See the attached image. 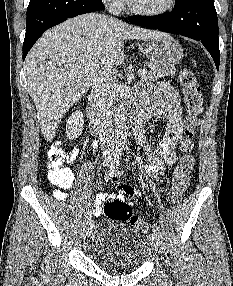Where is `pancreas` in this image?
<instances>
[{
	"label": "pancreas",
	"instance_id": "cf45deb5",
	"mask_svg": "<svg viewBox=\"0 0 233 286\" xmlns=\"http://www.w3.org/2000/svg\"><path fill=\"white\" fill-rule=\"evenodd\" d=\"M147 67L149 70H146V73L142 75L143 80H148V81H155L158 80L159 78L168 76V75H175L176 70L174 68H163L160 66L153 65L151 63H147Z\"/></svg>",
	"mask_w": 233,
	"mask_h": 286
}]
</instances>
